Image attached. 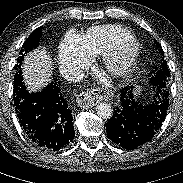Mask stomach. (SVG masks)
Wrapping results in <instances>:
<instances>
[{
	"instance_id": "obj_1",
	"label": "stomach",
	"mask_w": 183,
	"mask_h": 183,
	"mask_svg": "<svg viewBox=\"0 0 183 183\" xmlns=\"http://www.w3.org/2000/svg\"><path fill=\"white\" fill-rule=\"evenodd\" d=\"M132 93H133V95H134L135 98H138V97L140 96V94H141V90H140V88L136 87V88L133 90Z\"/></svg>"
}]
</instances>
